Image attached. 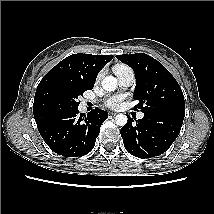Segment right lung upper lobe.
Instances as JSON below:
<instances>
[{
	"label": "right lung upper lobe",
	"instance_id": "cb5924a9",
	"mask_svg": "<svg viewBox=\"0 0 214 214\" xmlns=\"http://www.w3.org/2000/svg\"><path fill=\"white\" fill-rule=\"evenodd\" d=\"M112 58V55H91L79 53L70 55L59 62L42 78L37 87L33 104L35 121H38L45 114L49 113L41 110L38 102L39 92L48 81L53 79H62L81 83L93 88L97 74Z\"/></svg>",
	"mask_w": 214,
	"mask_h": 214
}]
</instances>
